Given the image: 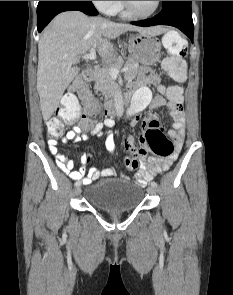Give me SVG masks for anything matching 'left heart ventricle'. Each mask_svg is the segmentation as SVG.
<instances>
[{"label":"left heart ventricle","instance_id":"left-heart-ventricle-1","mask_svg":"<svg viewBox=\"0 0 233 295\" xmlns=\"http://www.w3.org/2000/svg\"><path fill=\"white\" fill-rule=\"evenodd\" d=\"M130 4L137 13L147 14L154 9L156 1H130Z\"/></svg>","mask_w":233,"mask_h":295}]
</instances>
